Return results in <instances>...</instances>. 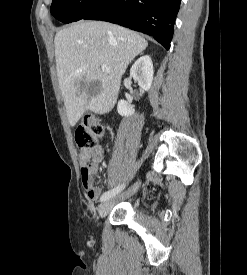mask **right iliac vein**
<instances>
[{
    "mask_svg": "<svg viewBox=\"0 0 247 275\" xmlns=\"http://www.w3.org/2000/svg\"><path fill=\"white\" fill-rule=\"evenodd\" d=\"M140 183H141L140 181L135 182L125 193L120 195L118 198H125L134 194L139 189ZM116 199L117 197H114L100 204L98 213L101 218L105 217L109 213Z\"/></svg>",
    "mask_w": 247,
    "mask_h": 275,
    "instance_id": "right-iliac-vein-1",
    "label": "right iliac vein"
}]
</instances>
